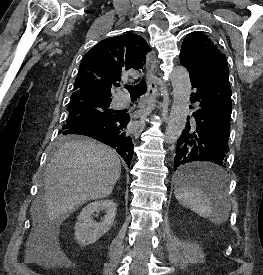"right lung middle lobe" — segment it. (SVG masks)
Listing matches in <instances>:
<instances>
[{
	"mask_svg": "<svg viewBox=\"0 0 263 275\" xmlns=\"http://www.w3.org/2000/svg\"><path fill=\"white\" fill-rule=\"evenodd\" d=\"M110 103V98L94 94L72 96L68 106L69 115L62 130L59 132L57 142L71 141L72 134H66L64 131L80 122L112 117L114 111L109 109Z\"/></svg>",
	"mask_w": 263,
	"mask_h": 275,
	"instance_id": "obj_1",
	"label": "right lung middle lobe"
}]
</instances>
